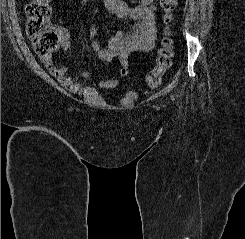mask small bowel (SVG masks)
<instances>
[{"mask_svg":"<svg viewBox=\"0 0 245 239\" xmlns=\"http://www.w3.org/2000/svg\"><path fill=\"white\" fill-rule=\"evenodd\" d=\"M106 8L110 13L122 19L133 20L136 23L129 31L118 30L108 40L107 46L103 47L95 39L97 29L92 26L88 36L92 39L90 49L103 62L118 60L120 67L119 77L102 79L96 85L102 89H113L119 85L120 78L125 77L129 72L128 56L131 52H150L155 46V0H140V2L131 6L123 0H106ZM61 47L65 51L71 49V42L66 32H61ZM50 74L70 92H78L81 89L79 80L90 77V73L83 72L77 77H70L66 74L65 68H59L55 65L52 56L41 57Z\"/></svg>","mask_w":245,"mask_h":239,"instance_id":"obj_1","label":"small bowel"}]
</instances>
